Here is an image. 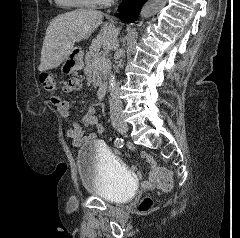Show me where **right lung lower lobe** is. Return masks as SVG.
<instances>
[{"label": "right lung lower lobe", "instance_id": "98d812e1", "mask_svg": "<svg viewBox=\"0 0 240 238\" xmlns=\"http://www.w3.org/2000/svg\"><path fill=\"white\" fill-rule=\"evenodd\" d=\"M146 0H124L119 6V17L126 22H134Z\"/></svg>", "mask_w": 240, "mask_h": 238}]
</instances>
